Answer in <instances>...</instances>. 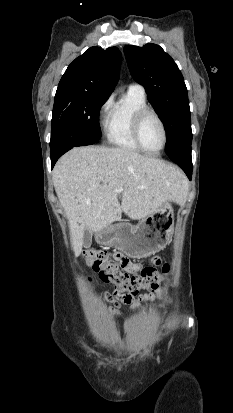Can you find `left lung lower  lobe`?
<instances>
[{"mask_svg":"<svg viewBox=\"0 0 233 413\" xmlns=\"http://www.w3.org/2000/svg\"><path fill=\"white\" fill-rule=\"evenodd\" d=\"M169 158L172 161H174L176 164H178L182 168V170L186 173L189 180H191V177H192V158H191V154H188V155H173V156H169Z\"/></svg>","mask_w":233,"mask_h":413,"instance_id":"left-lung-lower-lobe-1","label":"left lung lower lobe"}]
</instances>
